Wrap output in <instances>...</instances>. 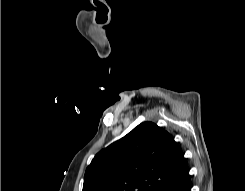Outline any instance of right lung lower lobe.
Listing matches in <instances>:
<instances>
[{"label": "right lung lower lobe", "instance_id": "1", "mask_svg": "<svg viewBox=\"0 0 245 191\" xmlns=\"http://www.w3.org/2000/svg\"><path fill=\"white\" fill-rule=\"evenodd\" d=\"M159 191H191V181L189 172L165 185Z\"/></svg>", "mask_w": 245, "mask_h": 191}]
</instances>
